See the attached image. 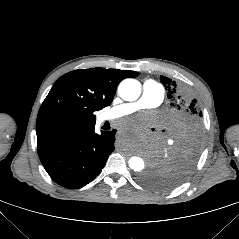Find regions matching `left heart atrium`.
Masks as SVG:
<instances>
[{"mask_svg": "<svg viewBox=\"0 0 239 239\" xmlns=\"http://www.w3.org/2000/svg\"><path fill=\"white\" fill-rule=\"evenodd\" d=\"M142 122H141V119L140 118H131V119H128V120H124L122 122V126L123 127H139L141 126Z\"/></svg>", "mask_w": 239, "mask_h": 239, "instance_id": "left-heart-atrium-1", "label": "left heart atrium"}]
</instances>
